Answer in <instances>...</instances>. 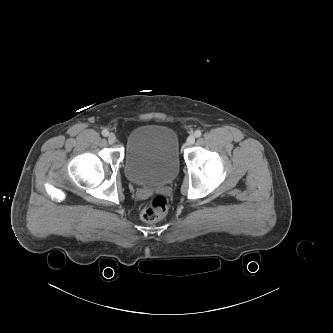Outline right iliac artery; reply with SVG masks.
Masks as SVG:
<instances>
[{
	"label": "right iliac artery",
	"instance_id": "obj_1",
	"mask_svg": "<svg viewBox=\"0 0 333 333\" xmlns=\"http://www.w3.org/2000/svg\"><path fill=\"white\" fill-rule=\"evenodd\" d=\"M102 135L103 136H108L109 135V131L108 130H106V129H104L103 131H102Z\"/></svg>",
	"mask_w": 333,
	"mask_h": 333
}]
</instances>
